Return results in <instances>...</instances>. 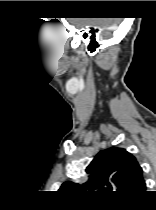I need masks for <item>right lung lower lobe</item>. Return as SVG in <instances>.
Here are the masks:
<instances>
[{
	"label": "right lung lower lobe",
	"mask_w": 156,
	"mask_h": 210,
	"mask_svg": "<svg viewBox=\"0 0 156 210\" xmlns=\"http://www.w3.org/2000/svg\"><path fill=\"white\" fill-rule=\"evenodd\" d=\"M143 194H144V193H143ZM143 194H141L140 196H138V197L132 199V201L139 199Z\"/></svg>",
	"instance_id": "98d812e1"
}]
</instances>
